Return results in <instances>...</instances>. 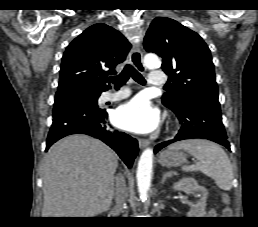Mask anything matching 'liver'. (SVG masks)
I'll list each match as a JSON object with an SVG mask.
<instances>
[{"label":"liver","instance_id":"1","mask_svg":"<svg viewBox=\"0 0 258 227\" xmlns=\"http://www.w3.org/2000/svg\"><path fill=\"white\" fill-rule=\"evenodd\" d=\"M117 166L115 152L90 136L56 142L43 160V217H90L109 210Z\"/></svg>","mask_w":258,"mask_h":227}]
</instances>
